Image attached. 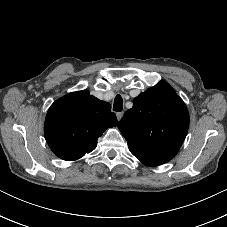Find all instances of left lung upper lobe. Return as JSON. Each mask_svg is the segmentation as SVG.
<instances>
[{"mask_svg":"<svg viewBox=\"0 0 227 227\" xmlns=\"http://www.w3.org/2000/svg\"><path fill=\"white\" fill-rule=\"evenodd\" d=\"M188 126L185 103L163 80L140 93L118 123L131 153L148 166L171 160L179 151Z\"/></svg>","mask_w":227,"mask_h":227,"instance_id":"left-lung-upper-lobe-1","label":"left lung upper lobe"}]
</instances>
